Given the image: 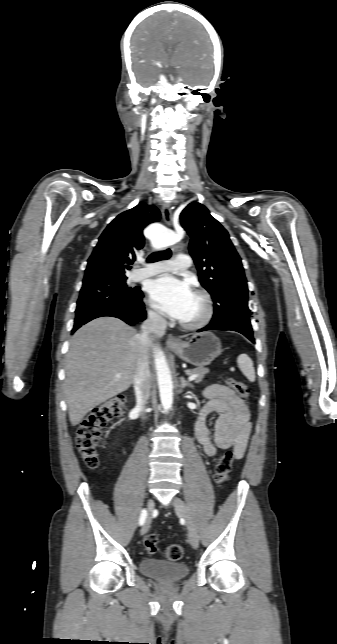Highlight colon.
<instances>
[{"instance_id":"colon-1","label":"colon","mask_w":337,"mask_h":644,"mask_svg":"<svg viewBox=\"0 0 337 644\" xmlns=\"http://www.w3.org/2000/svg\"><path fill=\"white\" fill-rule=\"evenodd\" d=\"M228 386L234 389L242 398L247 399L249 390L245 384L232 377H225ZM126 399L123 395H117L108 401L92 409L80 423L76 434V446L85 464L95 469L98 464V447L101 439L102 428L105 424L118 417L125 409ZM233 464V453L226 451L220 457L215 468V481L217 484H224L228 478ZM158 537L155 533L149 534L144 545L149 553L157 550ZM183 556V547L180 544H171L164 550V557L169 561H178Z\"/></svg>"}]
</instances>
